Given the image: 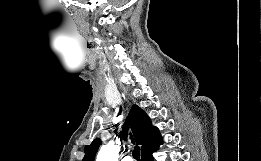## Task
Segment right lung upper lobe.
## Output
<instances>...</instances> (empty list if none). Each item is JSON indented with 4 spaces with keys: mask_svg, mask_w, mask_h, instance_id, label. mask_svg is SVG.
<instances>
[{
    "mask_svg": "<svg viewBox=\"0 0 261 161\" xmlns=\"http://www.w3.org/2000/svg\"><path fill=\"white\" fill-rule=\"evenodd\" d=\"M130 125L136 143L141 145V156L152 152L162 144L159 130L152 126L150 118L137 105H133L123 127L124 138ZM101 145L100 139H95L90 145L85 146V156L82 161H94L95 154Z\"/></svg>",
    "mask_w": 261,
    "mask_h": 161,
    "instance_id": "obj_1",
    "label": "right lung upper lobe"
}]
</instances>
